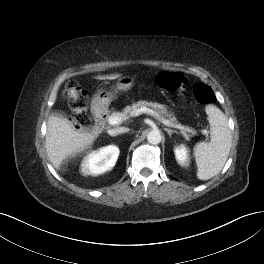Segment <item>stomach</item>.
<instances>
[{
	"label": "stomach",
	"mask_w": 264,
	"mask_h": 264,
	"mask_svg": "<svg viewBox=\"0 0 264 264\" xmlns=\"http://www.w3.org/2000/svg\"><path fill=\"white\" fill-rule=\"evenodd\" d=\"M134 85V79L130 77H123L118 80L111 91L100 90L94 96V101L99 106H108L109 103L116 98L119 91H126Z\"/></svg>",
	"instance_id": "0dacf381"
}]
</instances>
